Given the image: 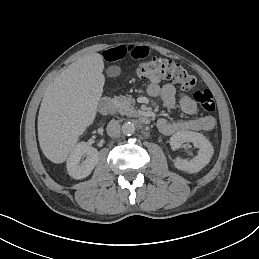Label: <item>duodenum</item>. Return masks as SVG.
Segmentation results:
<instances>
[{"label": "duodenum", "mask_w": 259, "mask_h": 259, "mask_svg": "<svg viewBox=\"0 0 259 259\" xmlns=\"http://www.w3.org/2000/svg\"><path fill=\"white\" fill-rule=\"evenodd\" d=\"M98 109L103 115H110L115 112V103L109 97H104L99 101ZM140 121L143 124H149L151 119L147 116H141Z\"/></svg>", "instance_id": "obj_1"}]
</instances>
